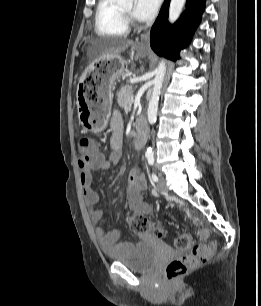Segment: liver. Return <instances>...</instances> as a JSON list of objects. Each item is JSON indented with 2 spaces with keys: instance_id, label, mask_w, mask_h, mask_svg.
Wrapping results in <instances>:
<instances>
[{
  "instance_id": "6515ba94",
  "label": "liver",
  "mask_w": 261,
  "mask_h": 306,
  "mask_svg": "<svg viewBox=\"0 0 261 306\" xmlns=\"http://www.w3.org/2000/svg\"><path fill=\"white\" fill-rule=\"evenodd\" d=\"M129 46H134L131 40H114L108 42L103 49H101L100 57H111L125 51Z\"/></svg>"
}]
</instances>
